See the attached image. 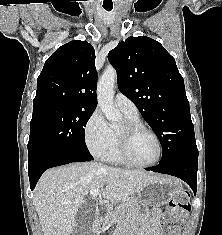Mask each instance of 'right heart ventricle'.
Here are the masks:
<instances>
[{"label": "right heart ventricle", "mask_w": 222, "mask_h": 235, "mask_svg": "<svg viewBox=\"0 0 222 235\" xmlns=\"http://www.w3.org/2000/svg\"><path fill=\"white\" fill-rule=\"evenodd\" d=\"M125 114V113H124ZM127 120L131 121H140L138 115L132 116L125 114ZM113 141L109 149L102 155V158L108 162L112 163H121L123 162L118 153V144H117V131L112 130Z\"/></svg>", "instance_id": "obj_1"}]
</instances>
